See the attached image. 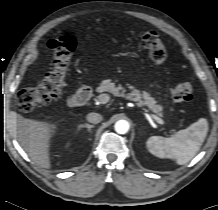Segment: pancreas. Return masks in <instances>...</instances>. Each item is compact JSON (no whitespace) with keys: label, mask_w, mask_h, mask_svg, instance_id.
Listing matches in <instances>:
<instances>
[{"label":"pancreas","mask_w":218,"mask_h":210,"mask_svg":"<svg viewBox=\"0 0 218 210\" xmlns=\"http://www.w3.org/2000/svg\"><path fill=\"white\" fill-rule=\"evenodd\" d=\"M103 84L104 86L99 88L100 92L108 91L114 96L135 101L140 106H147L157 116H163L162 105L157 104V101L150 95V93L146 91H140L134 86H129V92H127V90L122 85H116V83H114L111 79L106 80Z\"/></svg>","instance_id":"cf45deb5"}]
</instances>
